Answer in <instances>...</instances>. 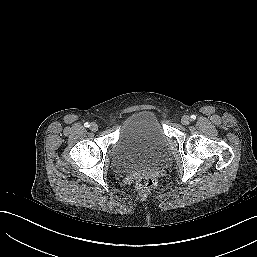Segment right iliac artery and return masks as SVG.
Wrapping results in <instances>:
<instances>
[{
  "label": "right iliac artery",
  "instance_id": "1",
  "mask_svg": "<svg viewBox=\"0 0 257 257\" xmlns=\"http://www.w3.org/2000/svg\"><path fill=\"white\" fill-rule=\"evenodd\" d=\"M84 126H85L86 128H88L90 125H89L88 122H86V123L84 124Z\"/></svg>",
  "mask_w": 257,
  "mask_h": 257
}]
</instances>
